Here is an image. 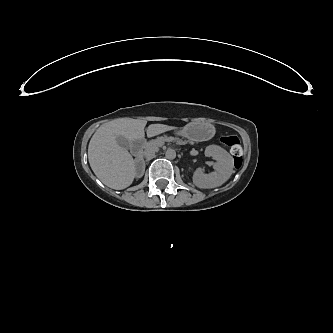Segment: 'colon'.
<instances>
[{
    "label": "colon",
    "instance_id": "colon-1",
    "mask_svg": "<svg viewBox=\"0 0 333 333\" xmlns=\"http://www.w3.org/2000/svg\"><path fill=\"white\" fill-rule=\"evenodd\" d=\"M220 140L230 149L235 167L240 168L243 158L239 139L235 136H224Z\"/></svg>",
    "mask_w": 333,
    "mask_h": 333
}]
</instances>
